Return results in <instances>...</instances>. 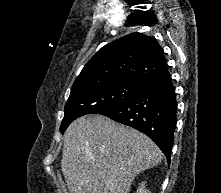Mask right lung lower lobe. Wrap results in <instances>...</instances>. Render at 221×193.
Listing matches in <instances>:
<instances>
[{"instance_id": "right-lung-lower-lobe-1", "label": "right lung lower lobe", "mask_w": 221, "mask_h": 193, "mask_svg": "<svg viewBox=\"0 0 221 193\" xmlns=\"http://www.w3.org/2000/svg\"><path fill=\"white\" fill-rule=\"evenodd\" d=\"M176 112V93L169 74L146 81L131 99L99 114L149 136L170 163L177 122Z\"/></svg>"}]
</instances>
